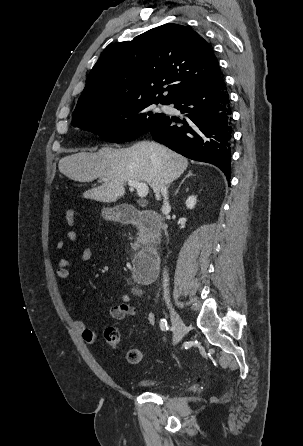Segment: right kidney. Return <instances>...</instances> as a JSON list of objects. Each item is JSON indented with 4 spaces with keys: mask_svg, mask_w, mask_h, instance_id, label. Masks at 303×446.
<instances>
[{
    "mask_svg": "<svg viewBox=\"0 0 303 446\" xmlns=\"http://www.w3.org/2000/svg\"><path fill=\"white\" fill-rule=\"evenodd\" d=\"M195 204H196V197L195 196L188 197V199L186 200V207L188 209H193Z\"/></svg>",
    "mask_w": 303,
    "mask_h": 446,
    "instance_id": "1",
    "label": "right kidney"
}]
</instances>
